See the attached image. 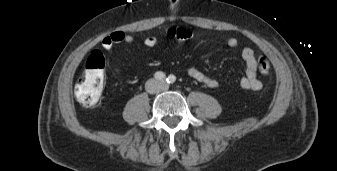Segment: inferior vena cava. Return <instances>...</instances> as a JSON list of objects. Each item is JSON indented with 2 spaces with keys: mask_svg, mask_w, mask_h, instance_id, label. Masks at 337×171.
Here are the masks:
<instances>
[{
  "mask_svg": "<svg viewBox=\"0 0 337 171\" xmlns=\"http://www.w3.org/2000/svg\"><path fill=\"white\" fill-rule=\"evenodd\" d=\"M149 92H155L157 90H154V89H148Z\"/></svg>",
  "mask_w": 337,
  "mask_h": 171,
  "instance_id": "obj_1",
  "label": "inferior vena cava"
}]
</instances>
